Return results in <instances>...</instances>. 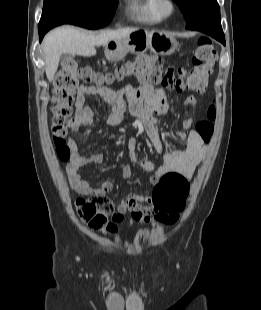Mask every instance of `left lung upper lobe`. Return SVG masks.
<instances>
[{"label":"left lung upper lobe","mask_w":261,"mask_h":310,"mask_svg":"<svg viewBox=\"0 0 261 310\" xmlns=\"http://www.w3.org/2000/svg\"><path fill=\"white\" fill-rule=\"evenodd\" d=\"M180 7L187 25L213 20L221 24L217 0H174Z\"/></svg>","instance_id":"1"}]
</instances>
